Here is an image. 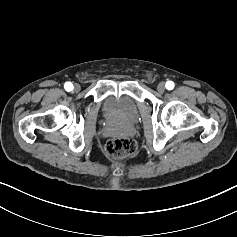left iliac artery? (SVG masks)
I'll list each match as a JSON object with an SVG mask.
<instances>
[{
  "instance_id": "44dca946",
  "label": "left iliac artery",
  "mask_w": 237,
  "mask_h": 237,
  "mask_svg": "<svg viewBox=\"0 0 237 237\" xmlns=\"http://www.w3.org/2000/svg\"><path fill=\"white\" fill-rule=\"evenodd\" d=\"M166 89L172 90L174 88V82L173 81H167L165 84Z\"/></svg>"
}]
</instances>
